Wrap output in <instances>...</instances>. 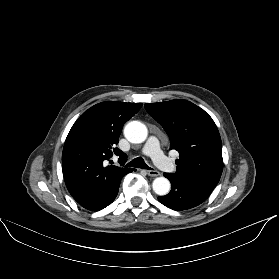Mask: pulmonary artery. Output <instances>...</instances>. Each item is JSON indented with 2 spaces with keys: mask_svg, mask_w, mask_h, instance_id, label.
I'll return each mask as SVG.
<instances>
[{
  "mask_svg": "<svg viewBox=\"0 0 279 279\" xmlns=\"http://www.w3.org/2000/svg\"><path fill=\"white\" fill-rule=\"evenodd\" d=\"M142 152L151 157L160 169L166 172H173L175 170L174 164L164 156L157 137L151 136L146 142Z\"/></svg>",
  "mask_w": 279,
  "mask_h": 279,
  "instance_id": "obj_1",
  "label": "pulmonary artery"
}]
</instances>
